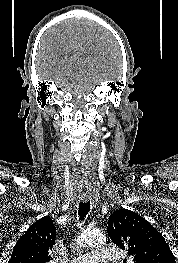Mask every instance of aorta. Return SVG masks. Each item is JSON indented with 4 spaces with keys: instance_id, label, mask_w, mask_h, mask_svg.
I'll list each match as a JSON object with an SVG mask.
<instances>
[{
    "instance_id": "obj_1",
    "label": "aorta",
    "mask_w": 178,
    "mask_h": 263,
    "mask_svg": "<svg viewBox=\"0 0 178 263\" xmlns=\"http://www.w3.org/2000/svg\"><path fill=\"white\" fill-rule=\"evenodd\" d=\"M77 245L86 246H99L106 242V237L100 231H84L77 238Z\"/></svg>"
}]
</instances>
